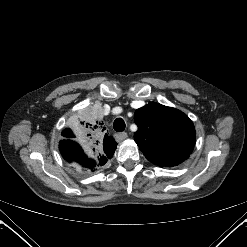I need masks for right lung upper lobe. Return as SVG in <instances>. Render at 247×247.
I'll list each match as a JSON object with an SVG mask.
<instances>
[{
    "mask_svg": "<svg viewBox=\"0 0 247 247\" xmlns=\"http://www.w3.org/2000/svg\"><path fill=\"white\" fill-rule=\"evenodd\" d=\"M84 130V138L81 149L88 159L87 165H104L110 159L116 149V142L107 134L104 135L103 123L91 120L82 123ZM63 136L74 138L75 136L70 130H65Z\"/></svg>",
    "mask_w": 247,
    "mask_h": 247,
    "instance_id": "cb5924a9",
    "label": "right lung upper lobe"
}]
</instances>
